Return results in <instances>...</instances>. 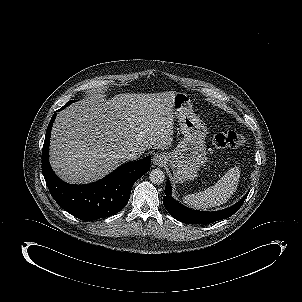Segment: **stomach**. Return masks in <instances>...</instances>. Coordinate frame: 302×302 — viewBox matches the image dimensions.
I'll list each match as a JSON object with an SVG mask.
<instances>
[{"label":"stomach","mask_w":302,"mask_h":302,"mask_svg":"<svg viewBox=\"0 0 302 302\" xmlns=\"http://www.w3.org/2000/svg\"><path fill=\"white\" fill-rule=\"evenodd\" d=\"M173 114L177 118L183 139L166 154L172 177L176 183L194 180L200 167L206 162L205 137L207 129L193 112L190 96L178 92L173 100Z\"/></svg>","instance_id":"1"}]
</instances>
